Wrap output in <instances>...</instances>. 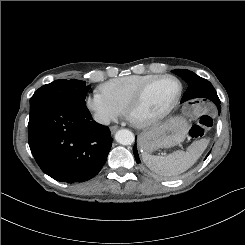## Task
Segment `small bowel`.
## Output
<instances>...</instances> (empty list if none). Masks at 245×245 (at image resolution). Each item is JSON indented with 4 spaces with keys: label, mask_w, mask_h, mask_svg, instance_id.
<instances>
[{
    "label": "small bowel",
    "mask_w": 245,
    "mask_h": 245,
    "mask_svg": "<svg viewBox=\"0 0 245 245\" xmlns=\"http://www.w3.org/2000/svg\"><path fill=\"white\" fill-rule=\"evenodd\" d=\"M211 105L208 100H192L187 103L186 111L190 115H204L210 111Z\"/></svg>",
    "instance_id": "1"
}]
</instances>
